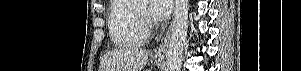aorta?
<instances>
[{
  "label": "aorta",
  "mask_w": 301,
  "mask_h": 71,
  "mask_svg": "<svg viewBox=\"0 0 301 71\" xmlns=\"http://www.w3.org/2000/svg\"><path fill=\"white\" fill-rule=\"evenodd\" d=\"M148 0H133L145 5ZM188 31V0H175L173 28L170 38L166 71H180Z\"/></svg>",
  "instance_id": "762f6f07"
}]
</instances>
